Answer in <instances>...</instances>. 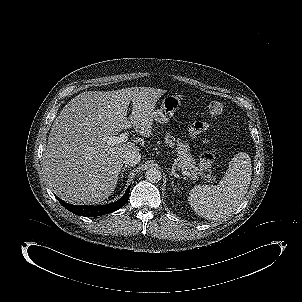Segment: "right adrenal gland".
<instances>
[{
  "instance_id": "right-adrenal-gland-1",
  "label": "right adrenal gland",
  "mask_w": 302,
  "mask_h": 302,
  "mask_svg": "<svg viewBox=\"0 0 302 302\" xmlns=\"http://www.w3.org/2000/svg\"><path fill=\"white\" fill-rule=\"evenodd\" d=\"M127 168H129V166H127V165H125V166L122 168V170H121V172H120L121 180H123V178H124V172L126 171Z\"/></svg>"
}]
</instances>
